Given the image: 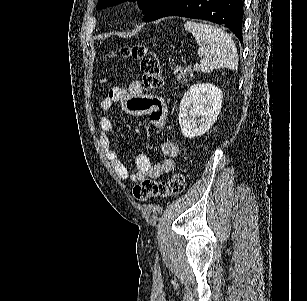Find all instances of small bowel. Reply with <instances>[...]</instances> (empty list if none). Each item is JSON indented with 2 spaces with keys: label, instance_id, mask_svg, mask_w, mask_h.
Masks as SVG:
<instances>
[{
  "label": "small bowel",
  "instance_id": "small-bowel-1",
  "mask_svg": "<svg viewBox=\"0 0 307 301\" xmlns=\"http://www.w3.org/2000/svg\"><path fill=\"white\" fill-rule=\"evenodd\" d=\"M118 102L122 104L127 113L148 115L155 127L163 128L165 126L167 108L164 100L144 93L138 82H134L128 88H111L107 97L100 103L101 110L107 112ZM99 129V143L105 151L114 172L120 179L133 182L141 181L145 178L156 179L174 170V158L179 153V147L173 139H163L161 148L164 158L157 164L153 165L151 163L147 153H139L135 159L136 171L131 173L111 147V135L114 131L113 121L109 117H102L99 121Z\"/></svg>",
  "mask_w": 307,
  "mask_h": 301
}]
</instances>
